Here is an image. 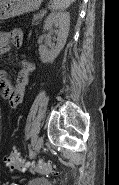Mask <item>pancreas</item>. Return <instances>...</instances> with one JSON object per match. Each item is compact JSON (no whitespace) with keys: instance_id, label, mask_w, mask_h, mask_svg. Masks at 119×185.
<instances>
[{"instance_id":"1","label":"pancreas","mask_w":119,"mask_h":185,"mask_svg":"<svg viewBox=\"0 0 119 185\" xmlns=\"http://www.w3.org/2000/svg\"><path fill=\"white\" fill-rule=\"evenodd\" d=\"M44 16V14H42L41 12L40 13H37L34 15L33 17V25H36L37 24V21L42 19V17Z\"/></svg>"}]
</instances>
